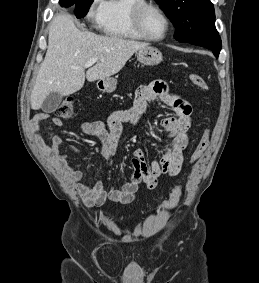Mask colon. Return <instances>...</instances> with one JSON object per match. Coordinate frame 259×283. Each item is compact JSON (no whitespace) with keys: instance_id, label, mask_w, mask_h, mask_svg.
<instances>
[{"instance_id":"obj_1","label":"colon","mask_w":259,"mask_h":283,"mask_svg":"<svg viewBox=\"0 0 259 283\" xmlns=\"http://www.w3.org/2000/svg\"><path fill=\"white\" fill-rule=\"evenodd\" d=\"M190 80L192 84L198 88L201 89L208 88L205 79L197 73H191ZM73 113H74V101L72 98H67L63 100L58 106V108L55 110V114L61 118H70L73 115ZM208 142H209V136L208 133H205L197 144V147L192 155V159H191L192 161L197 160L202 155V153L205 151L208 145ZM181 195H182V188L181 186H178L173 190L169 199L159 205V209L160 210L173 209L178 204Z\"/></svg>"}]
</instances>
